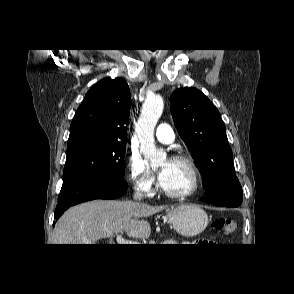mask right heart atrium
<instances>
[{
    "label": "right heart atrium",
    "mask_w": 294,
    "mask_h": 294,
    "mask_svg": "<svg viewBox=\"0 0 294 294\" xmlns=\"http://www.w3.org/2000/svg\"><path fill=\"white\" fill-rule=\"evenodd\" d=\"M128 179L133 188L144 195L151 194L155 180L150 174L142 159L137 154H131L128 159Z\"/></svg>",
    "instance_id": "1"
}]
</instances>
